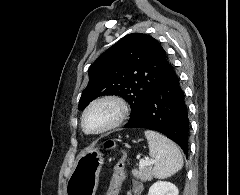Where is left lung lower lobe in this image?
Segmentation results:
<instances>
[{
    "instance_id": "0a47b994",
    "label": "left lung lower lobe",
    "mask_w": 240,
    "mask_h": 195,
    "mask_svg": "<svg viewBox=\"0 0 240 195\" xmlns=\"http://www.w3.org/2000/svg\"><path fill=\"white\" fill-rule=\"evenodd\" d=\"M124 128L158 131L176 142L187 154L188 111L179 78L171 65L163 80L152 88L143 107Z\"/></svg>"
}]
</instances>
